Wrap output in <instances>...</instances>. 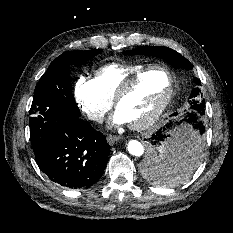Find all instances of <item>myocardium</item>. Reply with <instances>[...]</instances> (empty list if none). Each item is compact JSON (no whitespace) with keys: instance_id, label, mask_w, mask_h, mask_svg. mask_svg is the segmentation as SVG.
<instances>
[{"instance_id":"1","label":"myocardium","mask_w":233,"mask_h":233,"mask_svg":"<svg viewBox=\"0 0 233 233\" xmlns=\"http://www.w3.org/2000/svg\"><path fill=\"white\" fill-rule=\"evenodd\" d=\"M155 70H161L165 72L168 77V87L166 93L164 94L160 102L157 104V106L153 109V111L149 115H147L145 118H143L138 122L129 123L130 127L134 130H144L151 127L154 123L158 121V119L164 113L174 94V77L172 73L167 67L163 65H158V64L149 65L143 68L142 70H140L138 73L126 79L119 87L118 91L116 92L113 98V105L116 108V110H118L120 103L136 86V84L145 75Z\"/></svg>"}]
</instances>
